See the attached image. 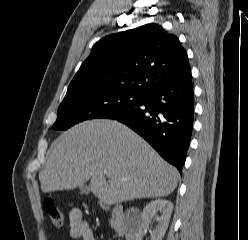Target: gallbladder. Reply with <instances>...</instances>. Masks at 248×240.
<instances>
[{"label": "gallbladder", "mask_w": 248, "mask_h": 240, "mask_svg": "<svg viewBox=\"0 0 248 240\" xmlns=\"http://www.w3.org/2000/svg\"><path fill=\"white\" fill-rule=\"evenodd\" d=\"M80 191H81V193H89L90 188L86 185H82V186H80Z\"/></svg>", "instance_id": "obj_1"}]
</instances>
